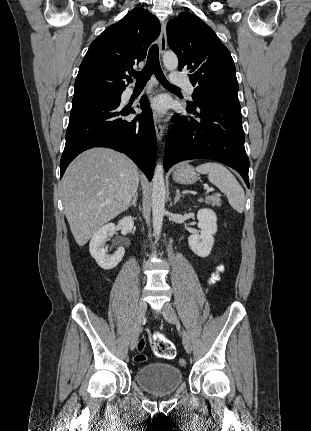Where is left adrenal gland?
I'll return each instance as SVG.
<instances>
[{
  "label": "left adrenal gland",
  "instance_id": "a2214340",
  "mask_svg": "<svg viewBox=\"0 0 311 431\" xmlns=\"http://www.w3.org/2000/svg\"><path fill=\"white\" fill-rule=\"evenodd\" d=\"M181 196H182V194H180V190H176V196H175L174 204H177V202H179Z\"/></svg>",
  "mask_w": 311,
  "mask_h": 431
}]
</instances>
